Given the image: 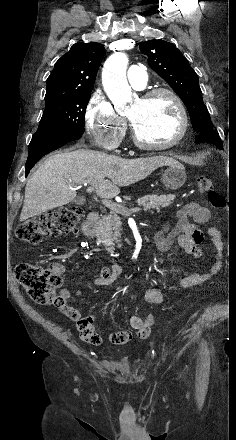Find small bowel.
<instances>
[{
	"label": "small bowel",
	"instance_id": "obj_1",
	"mask_svg": "<svg viewBox=\"0 0 236 440\" xmlns=\"http://www.w3.org/2000/svg\"><path fill=\"white\" fill-rule=\"evenodd\" d=\"M192 218L197 223H206L210 219V210L198 202L190 201L183 205L176 213V222L174 224L167 222L160 231L154 235V242L156 248L161 252H166L177 242L178 245L185 250L186 253L195 257H199L202 253L201 244L203 242V233L197 228L194 223L189 221ZM214 247V261L210 269L205 273H193L178 279L176 286L181 289L192 288L199 286L208 280L215 277L222 267V237L220 231L216 226H211L208 230ZM52 268L59 273L64 271L60 264H53ZM122 275V268L113 266L112 268L103 267L100 269L99 275L93 279V284L96 286H109L113 284ZM142 289H138L132 296L134 300ZM60 297L63 298L65 306L63 311L65 315L70 318L73 323V328L78 329L81 338L93 345L101 342L100 335L96 331V324L91 317H82L80 312L67 305V301L72 297H82L80 291H71L64 288L60 291ZM144 298L148 303L161 304L164 300L163 293L156 288H148L144 291ZM87 320V321H85ZM130 327H126L125 331H118L112 333L109 339L112 343L123 345L128 343L132 336L138 333L139 339H148L151 332L150 324H143L142 319L138 315H131L129 317Z\"/></svg>",
	"mask_w": 236,
	"mask_h": 440
}]
</instances>
